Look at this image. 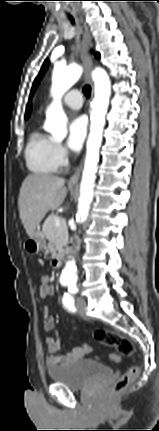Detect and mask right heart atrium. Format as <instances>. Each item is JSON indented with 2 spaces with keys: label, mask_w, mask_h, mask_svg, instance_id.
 Segmentation results:
<instances>
[{
  "label": "right heart atrium",
  "mask_w": 159,
  "mask_h": 431,
  "mask_svg": "<svg viewBox=\"0 0 159 431\" xmlns=\"http://www.w3.org/2000/svg\"><path fill=\"white\" fill-rule=\"evenodd\" d=\"M53 154H54V158L58 164V166H64L67 162V150L65 149V147L59 143V142H54L53 143Z\"/></svg>",
  "instance_id": "right-heart-atrium-1"
}]
</instances>
